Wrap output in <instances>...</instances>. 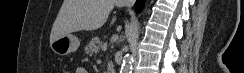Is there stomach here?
<instances>
[{
  "mask_svg": "<svg viewBox=\"0 0 244 73\" xmlns=\"http://www.w3.org/2000/svg\"><path fill=\"white\" fill-rule=\"evenodd\" d=\"M79 45L80 41L76 36L67 34L54 40L50 44V48L55 54L65 56L75 52L79 48Z\"/></svg>",
  "mask_w": 244,
  "mask_h": 73,
  "instance_id": "0dacf381",
  "label": "stomach"
}]
</instances>
